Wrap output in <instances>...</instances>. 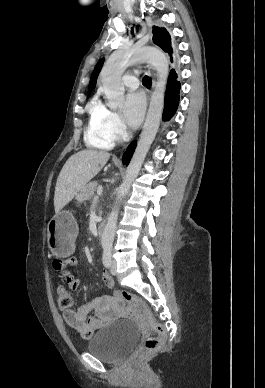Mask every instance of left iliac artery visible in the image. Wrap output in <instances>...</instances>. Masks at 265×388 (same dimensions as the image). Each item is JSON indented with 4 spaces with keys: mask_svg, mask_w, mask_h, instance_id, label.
<instances>
[{
    "mask_svg": "<svg viewBox=\"0 0 265 388\" xmlns=\"http://www.w3.org/2000/svg\"><path fill=\"white\" fill-rule=\"evenodd\" d=\"M111 251L112 247L109 244H104L103 245V264L105 267H109L111 264Z\"/></svg>",
    "mask_w": 265,
    "mask_h": 388,
    "instance_id": "1",
    "label": "left iliac artery"
}]
</instances>
